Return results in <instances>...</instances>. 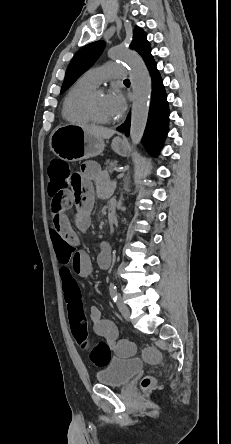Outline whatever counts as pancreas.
<instances>
[{
    "label": "pancreas",
    "mask_w": 231,
    "mask_h": 444,
    "mask_svg": "<svg viewBox=\"0 0 231 444\" xmlns=\"http://www.w3.org/2000/svg\"><path fill=\"white\" fill-rule=\"evenodd\" d=\"M106 168L111 171L113 168H115L117 166V163L115 161L112 160H107L106 161Z\"/></svg>",
    "instance_id": "cf45deb5"
}]
</instances>
